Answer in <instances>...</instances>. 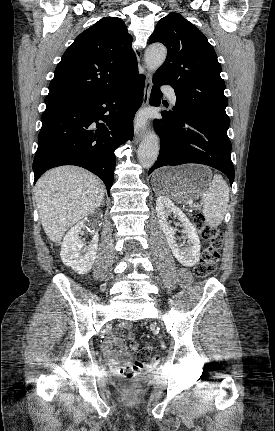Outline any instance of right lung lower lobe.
<instances>
[{"instance_id": "1", "label": "right lung lower lobe", "mask_w": 275, "mask_h": 431, "mask_svg": "<svg viewBox=\"0 0 275 431\" xmlns=\"http://www.w3.org/2000/svg\"><path fill=\"white\" fill-rule=\"evenodd\" d=\"M144 83L145 77L139 75L119 90L46 106L33 161L34 183L50 168L77 165L99 176L109 194L114 151L132 139Z\"/></svg>"}]
</instances>
